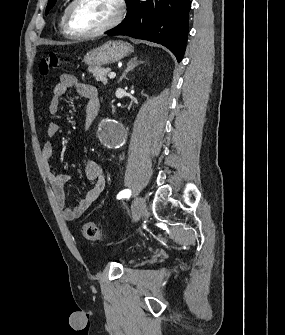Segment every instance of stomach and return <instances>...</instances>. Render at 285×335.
Returning <instances> with one entry per match:
<instances>
[{"label": "stomach", "mask_w": 285, "mask_h": 335, "mask_svg": "<svg viewBox=\"0 0 285 335\" xmlns=\"http://www.w3.org/2000/svg\"><path fill=\"white\" fill-rule=\"evenodd\" d=\"M131 52H133V48L127 42L109 40V42L102 44L100 48H93V50L87 52L83 58V62L87 66H93V68H101V66L119 62V60L131 54Z\"/></svg>", "instance_id": "stomach-1"}]
</instances>
